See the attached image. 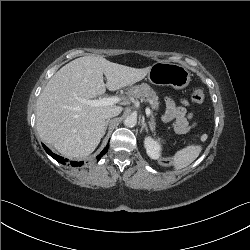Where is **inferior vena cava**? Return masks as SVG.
Returning a JSON list of instances; mask_svg holds the SVG:
<instances>
[{
  "mask_svg": "<svg viewBox=\"0 0 250 250\" xmlns=\"http://www.w3.org/2000/svg\"><path fill=\"white\" fill-rule=\"evenodd\" d=\"M122 111L121 107H114L111 108L110 110L107 111V113L105 114V118L106 119H110L112 117L118 116Z\"/></svg>",
  "mask_w": 250,
  "mask_h": 250,
  "instance_id": "obj_1",
  "label": "inferior vena cava"
}]
</instances>
